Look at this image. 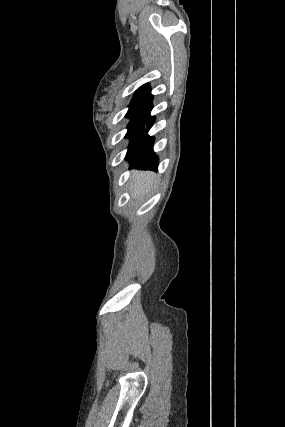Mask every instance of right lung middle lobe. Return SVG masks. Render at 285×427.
<instances>
[{
    "label": "right lung middle lobe",
    "mask_w": 285,
    "mask_h": 427,
    "mask_svg": "<svg viewBox=\"0 0 285 427\" xmlns=\"http://www.w3.org/2000/svg\"><path fill=\"white\" fill-rule=\"evenodd\" d=\"M147 116H139L131 118V121L128 125V132L125 137H130L131 142L128 148L126 158L132 160L138 149L141 146L142 138L144 135V123Z\"/></svg>",
    "instance_id": "1"
}]
</instances>
